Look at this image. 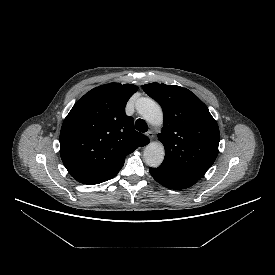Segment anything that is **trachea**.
I'll use <instances>...</instances> for the list:
<instances>
[{"mask_svg":"<svg viewBox=\"0 0 275 275\" xmlns=\"http://www.w3.org/2000/svg\"><path fill=\"white\" fill-rule=\"evenodd\" d=\"M135 128L140 132H147L148 126L143 119H137L135 122Z\"/></svg>","mask_w":275,"mask_h":275,"instance_id":"3493384b","label":"trachea"}]
</instances>
